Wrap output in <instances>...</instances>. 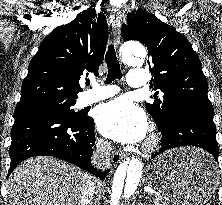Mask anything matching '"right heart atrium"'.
<instances>
[{
	"mask_svg": "<svg viewBox=\"0 0 222 205\" xmlns=\"http://www.w3.org/2000/svg\"><path fill=\"white\" fill-rule=\"evenodd\" d=\"M98 144L104 150L108 148V143L104 139H99Z\"/></svg>",
	"mask_w": 222,
	"mask_h": 205,
	"instance_id": "right-heart-atrium-1",
	"label": "right heart atrium"
}]
</instances>
